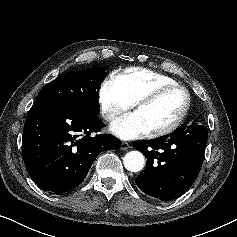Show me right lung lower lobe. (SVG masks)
Segmentation results:
<instances>
[{"label":"right lung lower lobe","instance_id":"obj_1","mask_svg":"<svg viewBox=\"0 0 237 237\" xmlns=\"http://www.w3.org/2000/svg\"><path fill=\"white\" fill-rule=\"evenodd\" d=\"M104 126L98 116L56 102L35 101L22 138V155L32 180L57 194L79 186L102 151L121 145L112 135H91Z\"/></svg>","mask_w":237,"mask_h":237}]
</instances>
